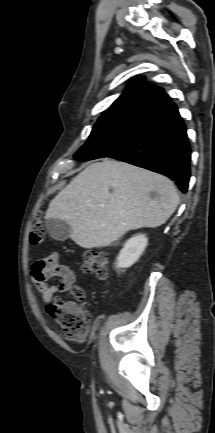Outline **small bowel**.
I'll use <instances>...</instances> for the list:
<instances>
[{
    "label": "small bowel",
    "instance_id": "small-bowel-1",
    "mask_svg": "<svg viewBox=\"0 0 215 433\" xmlns=\"http://www.w3.org/2000/svg\"><path fill=\"white\" fill-rule=\"evenodd\" d=\"M30 276L45 303H49L55 293L68 291L76 282L74 271L60 263L56 252L35 261L31 266ZM52 279H57V283L51 284Z\"/></svg>",
    "mask_w": 215,
    "mask_h": 433
}]
</instances>
